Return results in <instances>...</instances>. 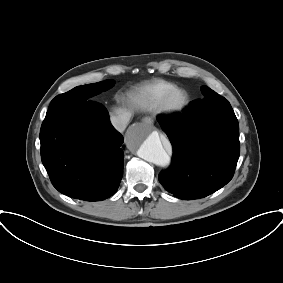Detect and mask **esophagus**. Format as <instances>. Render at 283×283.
<instances>
[{
  "label": "esophagus",
  "instance_id": "1",
  "mask_svg": "<svg viewBox=\"0 0 283 283\" xmlns=\"http://www.w3.org/2000/svg\"><path fill=\"white\" fill-rule=\"evenodd\" d=\"M143 121H144L145 123H148V124H151V123H152V119H151L150 117H145V118L143 119Z\"/></svg>",
  "mask_w": 283,
  "mask_h": 283
}]
</instances>
